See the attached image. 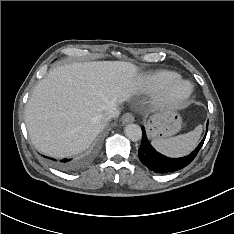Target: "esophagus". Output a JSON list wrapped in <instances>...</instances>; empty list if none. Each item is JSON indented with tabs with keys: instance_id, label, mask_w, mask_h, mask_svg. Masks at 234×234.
<instances>
[{
	"instance_id": "obj_1",
	"label": "esophagus",
	"mask_w": 234,
	"mask_h": 234,
	"mask_svg": "<svg viewBox=\"0 0 234 234\" xmlns=\"http://www.w3.org/2000/svg\"><path fill=\"white\" fill-rule=\"evenodd\" d=\"M135 120L133 114L131 113H125L122 118H121V121L123 124H126V123H131Z\"/></svg>"
}]
</instances>
